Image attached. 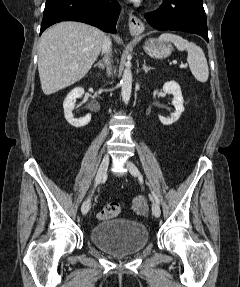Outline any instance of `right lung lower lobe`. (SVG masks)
Masks as SVG:
<instances>
[{"label": "right lung lower lobe", "instance_id": "1", "mask_svg": "<svg viewBox=\"0 0 240 287\" xmlns=\"http://www.w3.org/2000/svg\"><path fill=\"white\" fill-rule=\"evenodd\" d=\"M120 6L116 0H46L40 34L60 21L84 22L116 33Z\"/></svg>", "mask_w": 240, "mask_h": 287}]
</instances>
